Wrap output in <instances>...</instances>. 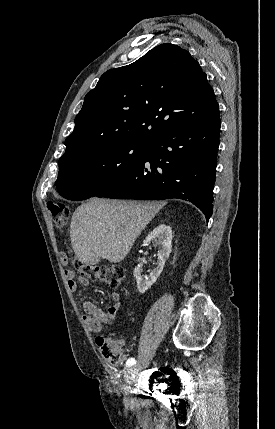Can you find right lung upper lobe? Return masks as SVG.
Wrapping results in <instances>:
<instances>
[{"label":"right lung upper lobe","mask_w":275,"mask_h":429,"mask_svg":"<svg viewBox=\"0 0 275 429\" xmlns=\"http://www.w3.org/2000/svg\"><path fill=\"white\" fill-rule=\"evenodd\" d=\"M218 114L214 91L199 63L188 51L164 43L101 76L85 96L59 165L111 145L149 144Z\"/></svg>","instance_id":"obj_1"}]
</instances>
